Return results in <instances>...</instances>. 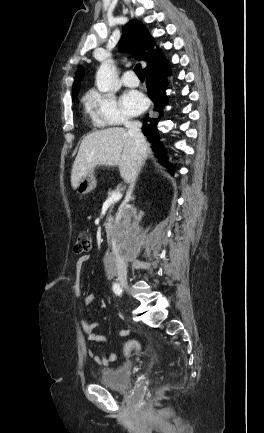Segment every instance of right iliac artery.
<instances>
[{
	"label": "right iliac artery",
	"mask_w": 264,
	"mask_h": 433,
	"mask_svg": "<svg viewBox=\"0 0 264 433\" xmlns=\"http://www.w3.org/2000/svg\"><path fill=\"white\" fill-rule=\"evenodd\" d=\"M113 291L116 295L120 296L122 293V288L120 287V285L118 283H114L113 284Z\"/></svg>",
	"instance_id": "right-iliac-artery-1"
}]
</instances>
